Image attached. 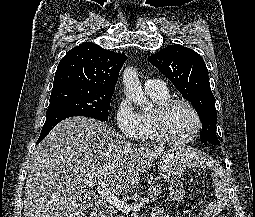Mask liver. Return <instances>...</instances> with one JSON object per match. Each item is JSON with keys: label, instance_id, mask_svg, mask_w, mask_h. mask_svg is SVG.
Wrapping results in <instances>:
<instances>
[{"label": "liver", "instance_id": "6515ba94", "mask_svg": "<svg viewBox=\"0 0 255 217\" xmlns=\"http://www.w3.org/2000/svg\"><path fill=\"white\" fill-rule=\"evenodd\" d=\"M188 159L199 154L179 148ZM158 144L133 145L108 125L86 117L57 124L36 147L25 185L24 217H84L92 207L85 180L127 193L164 154Z\"/></svg>", "mask_w": 255, "mask_h": 217}]
</instances>
